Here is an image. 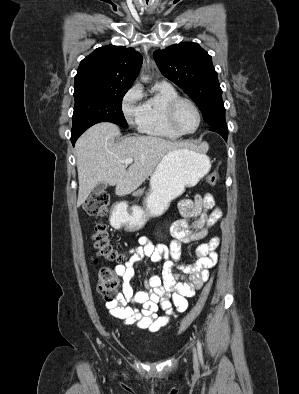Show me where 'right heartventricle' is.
<instances>
[{"instance_id": "right-heart-ventricle-1", "label": "right heart ventricle", "mask_w": 299, "mask_h": 394, "mask_svg": "<svg viewBox=\"0 0 299 394\" xmlns=\"http://www.w3.org/2000/svg\"><path fill=\"white\" fill-rule=\"evenodd\" d=\"M177 97L179 94L172 85L157 82L154 85V94L143 103L138 122L140 131L153 137L179 138L181 135L169 127L166 119V108Z\"/></svg>"}]
</instances>
